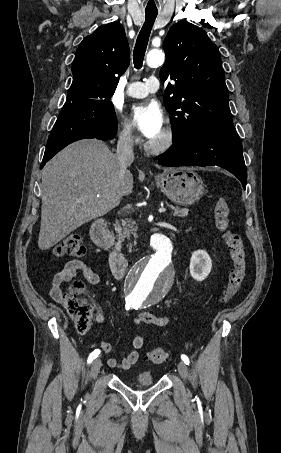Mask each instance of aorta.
I'll list each match as a JSON object with an SVG mask.
<instances>
[{"label": "aorta", "mask_w": 281, "mask_h": 453, "mask_svg": "<svg viewBox=\"0 0 281 453\" xmlns=\"http://www.w3.org/2000/svg\"><path fill=\"white\" fill-rule=\"evenodd\" d=\"M165 55L161 50L148 53V66L162 65ZM154 255L138 262L126 278L127 301L136 307L150 306L161 301L171 289L174 270L171 266L173 246L171 240L162 234L151 237Z\"/></svg>", "instance_id": "762f6f07"}]
</instances>
